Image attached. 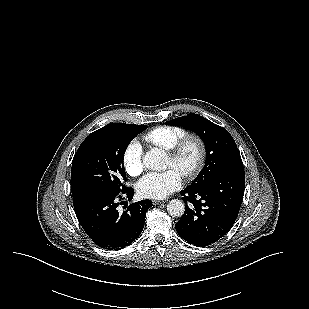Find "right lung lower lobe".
Returning <instances> with one entry per match:
<instances>
[{"mask_svg": "<svg viewBox=\"0 0 309 309\" xmlns=\"http://www.w3.org/2000/svg\"><path fill=\"white\" fill-rule=\"evenodd\" d=\"M122 194L131 200L134 190L89 192L73 197L75 214L81 226L99 247L122 249L135 241L143 230L146 211L153 205L152 201L141 200L120 213L117 207Z\"/></svg>", "mask_w": 309, "mask_h": 309, "instance_id": "1", "label": "right lung lower lobe"}]
</instances>
